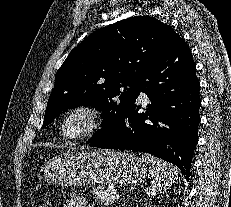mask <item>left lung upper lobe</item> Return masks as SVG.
I'll return each mask as SVG.
<instances>
[{
  "instance_id": "5c2ea615",
  "label": "left lung upper lobe",
  "mask_w": 231,
  "mask_h": 207,
  "mask_svg": "<svg viewBox=\"0 0 231 207\" xmlns=\"http://www.w3.org/2000/svg\"><path fill=\"white\" fill-rule=\"evenodd\" d=\"M179 37L150 16L131 17L95 31L57 71L42 128L66 109L90 105L103 112V128L91 140L112 134L138 97V80L146 66Z\"/></svg>"
}]
</instances>
